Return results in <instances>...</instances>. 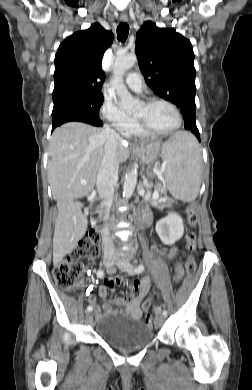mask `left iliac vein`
I'll return each instance as SVG.
<instances>
[{
    "instance_id": "left-iliac-vein-1",
    "label": "left iliac vein",
    "mask_w": 252,
    "mask_h": 390,
    "mask_svg": "<svg viewBox=\"0 0 252 390\" xmlns=\"http://www.w3.org/2000/svg\"><path fill=\"white\" fill-rule=\"evenodd\" d=\"M116 265L124 272L130 274V275H133L134 274V271H133V265L129 262L128 259L126 258H118L117 261H116ZM157 315H158V318L160 320H163L165 318L164 315L160 314V309L156 311Z\"/></svg>"
}]
</instances>
